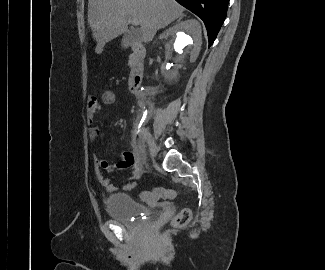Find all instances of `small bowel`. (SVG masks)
<instances>
[{
	"mask_svg": "<svg viewBox=\"0 0 325 270\" xmlns=\"http://www.w3.org/2000/svg\"><path fill=\"white\" fill-rule=\"evenodd\" d=\"M101 96H103L101 94ZM115 96V95H114ZM101 101L95 96H92L88 99L87 108H86V120L89 128V138L91 140L97 139L101 130L99 127L93 125L94 115L100 109ZM104 105H112L114 103H102ZM93 161L95 164V171L99 183L106 188L107 191L113 192L116 190L130 191L136 187L135 180L141 176V170L135 166L136 158L132 152H122L117 159L116 164H110L107 160L103 159L98 155L93 156ZM132 168V173L128 181L115 185L111 182V179L105 175V173L112 172L114 170H127Z\"/></svg>",
	"mask_w": 325,
	"mask_h": 270,
	"instance_id": "obj_1",
	"label": "small bowel"
}]
</instances>
